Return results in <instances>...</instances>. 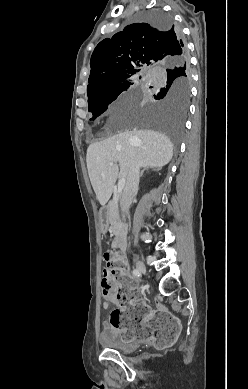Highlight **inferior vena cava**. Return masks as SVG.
Segmentation results:
<instances>
[{"label": "inferior vena cava", "mask_w": 248, "mask_h": 389, "mask_svg": "<svg viewBox=\"0 0 248 389\" xmlns=\"http://www.w3.org/2000/svg\"><path fill=\"white\" fill-rule=\"evenodd\" d=\"M139 180L140 165L137 161H134L128 174L126 186L121 199V208L124 213L128 212L132 199L138 192Z\"/></svg>", "instance_id": "obj_1"}]
</instances>
